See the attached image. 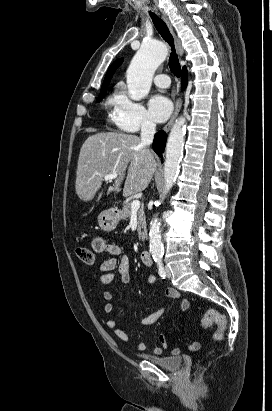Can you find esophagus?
Masks as SVG:
<instances>
[{
  "label": "esophagus",
  "instance_id": "34e87169",
  "mask_svg": "<svg viewBox=\"0 0 272 411\" xmlns=\"http://www.w3.org/2000/svg\"><path fill=\"white\" fill-rule=\"evenodd\" d=\"M163 19H164L165 23L167 24V26H168L170 32L172 33L173 37H174L175 45H176V51H177L179 57H182L184 51H183V48H182V45H181V41L176 36L170 21L164 15H163ZM181 107H182V97H179L178 100L176 101L174 112H173L170 120L168 121V123L164 127L165 132H168L170 130V128H171L174 120L176 119Z\"/></svg>",
  "mask_w": 272,
  "mask_h": 411
}]
</instances>
